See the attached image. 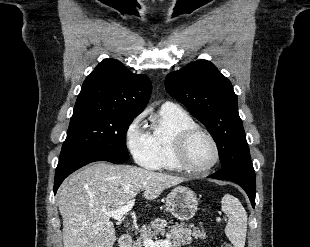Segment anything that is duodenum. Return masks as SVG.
<instances>
[{"instance_id":"1","label":"duodenum","mask_w":310,"mask_h":247,"mask_svg":"<svg viewBox=\"0 0 310 247\" xmlns=\"http://www.w3.org/2000/svg\"><path fill=\"white\" fill-rule=\"evenodd\" d=\"M131 236L128 234H123L118 241L119 247H131Z\"/></svg>"}]
</instances>
